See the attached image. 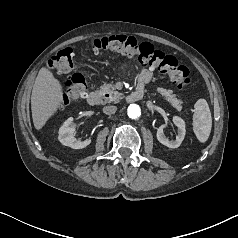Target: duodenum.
<instances>
[{
  "mask_svg": "<svg viewBox=\"0 0 238 238\" xmlns=\"http://www.w3.org/2000/svg\"><path fill=\"white\" fill-rule=\"evenodd\" d=\"M143 97V88L137 87L134 91L126 96V102L133 103ZM104 96L101 93L92 92L88 95L87 101L90 105H99L104 103Z\"/></svg>",
  "mask_w": 238,
  "mask_h": 238,
  "instance_id": "410a0bca",
  "label": "duodenum"
}]
</instances>
